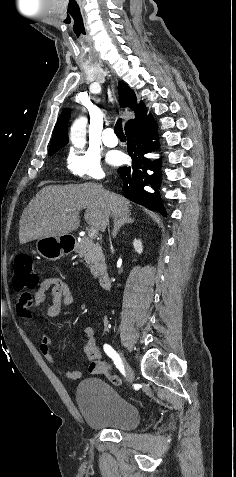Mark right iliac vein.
I'll return each instance as SVG.
<instances>
[{
	"label": "right iliac vein",
	"mask_w": 236,
	"mask_h": 477,
	"mask_svg": "<svg viewBox=\"0 0 236 477\" xmlns=\"http://www.w3.org/2000/svg\"><path fill=\"white\" fill-rule=\"evenodd\" d=\"M123 366L127 376V380L128 382L131 383L134 379V370L124 358H123Z\"/></svg>",
	"instance_id": "right-iliac-vein-1"
}]
</instances>
